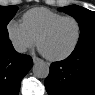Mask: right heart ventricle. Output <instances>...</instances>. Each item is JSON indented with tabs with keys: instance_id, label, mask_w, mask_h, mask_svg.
<instances>
[{
	"instance_id": "1",
	"label": "right heart ventricle",
	"mask_w": 95,
	"mask_h": 95,
	"mask_svg": "<svg viewBox=\"0 0 95 95\" xmlns=\"http://www.w3.org/2000/svg\"><path fill=\"white\" fill-rule=\"evenodd\" d=\"M64 15L47 8L38 7L28 10L22 17V24L27 32L37 40L40 33L54 21Z\"/></svg>"
}]
</instances>
